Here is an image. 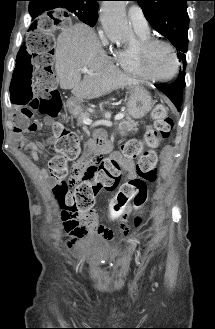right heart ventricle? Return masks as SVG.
<instances>
[{"mask_svg": "<svg viewBox=\"0 0 215 329\" xmlns=\"http://www.w3.org/2000/svg\"><path fill=\"white\" fill-rule=\"evenodd\" d=\"M139 43L133 47L121 49L115 52L114 57L117 63L127 72L135 76L144 77L137 64V50L140 43L150 39L149 34L137 33Z\"/></svg>", "mask_w": 215, "mask_h": 329, "instance_id": "e07e8e85", "label": "right heart ventricle"}]
</instances>
